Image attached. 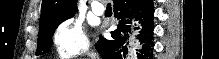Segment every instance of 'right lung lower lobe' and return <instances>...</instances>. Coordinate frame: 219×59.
Segmentation results:
<instances>
[{
  "label": "right lung lower lobe",
  "mask_w": 219,
  "mask_h": 59,
  "mask_svg": "<svg viewBox=\"0 0 219 59\" xmlns=\"http://www.w3.org/2000/svg\"><path fill=\"white\" fill-rule=\"evenodd\" d=\"M114 12L119 19V27L111 32V39L99 37L96 49L102 59H123L132 42H139L136 49L139 59H151L153 50V17L152 0H113Z\"/></svg>",
  "instance_id": "98d812e1"
}]
</instances>
